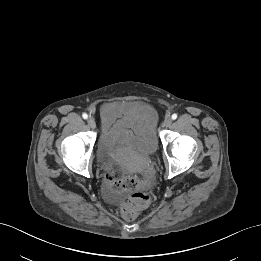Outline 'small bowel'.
I'll return each mask as SVG.
<instances>
[{"mask_svg":"<svg viewBox=\"0 0 261 261\" xmlns=\"http://www.w3.org/2000/svg\"><path fill=\"white\" fill-rule=\"evenodd\" d=\"M100 113L106 136L118 130H151L156 124L155 112L142 102H106L101 106Z\"/></svg>","mask_w":261,"mask_h":261,"instance_id":"obj_1","label":"small bowel"}]
</instances>
